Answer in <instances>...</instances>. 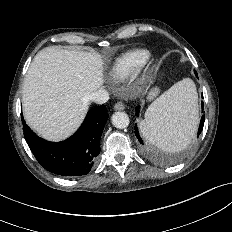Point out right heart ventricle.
I'll use <instances>...</instances> for the list:
<instances>
[{
	"label": "right heart ventricle",
	"instance_id": "e07e8e85",
	"mask_svg": "<svg viewBox=\"0 0 232 232\" xmlns=\"http://www.w3.org/2000/svg\"><path fill=\"white\" fill-rule=\"evenodd\" d=\"M147 49H133L120 55L113 62L110 73L114 79L123 80L137 73L150 59Z\"/></svg>",
	"mask_w": 232,
	"mask_h": 232
}]
</instances>
